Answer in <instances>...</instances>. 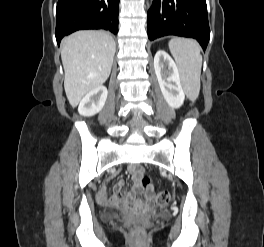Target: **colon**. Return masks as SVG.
I'll return each instance as SVG.
<instances>
[{"label": "colon", "mask_w": 264, "mask_h": 247, "mask_svg": "<svg viewBox=\"0 0 264 247\" xmlns=\"http://www.w3.org/2000/svg\"><path fill=\"white\" fill-rule=\"evenodd\" d=\"M140 182L143 188L147 189L150 187L151 180L147 176L142 177ZM169 200L170 194L167 191H160L155 196V202L158 205H165L169 202ZM134 229L136 232L140 230L138 226H136Z\"/></svg>", "instance_id": "1"}]
</instances>
